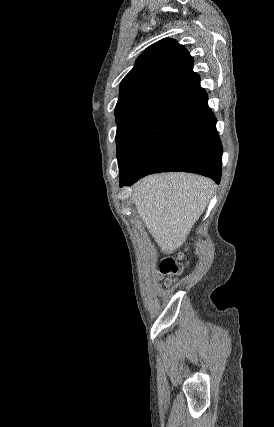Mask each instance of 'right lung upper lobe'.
<instances>
[{"label": "right lung upper lobe", "instance_id": "1", "mask_svg": "<svg viewBox=\"0 0 274 427\" xmlns=\"http://www.w3.org/2000/svg\"><path fill=\"white\" fill-rule=\"evenodd\" d=\"M199 82L185 47L165 38L147 48L124 77L116 108L153 97L175 105L201 91Z\"/></svg>", "mask_w": 274, "mask_h": 427}]
</instances>
